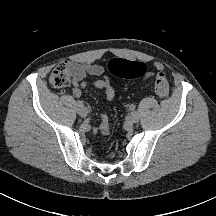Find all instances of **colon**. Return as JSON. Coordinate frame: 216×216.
Wrapping results in <instances>:
<instances>
[{"instance_id":"1","label":"colon","mask_w":216,"mask_h":216,"mask_svg":"<svg viewBox=\"0 0 216 216\" xmlns=\"http://www.w3.org/2000/svg\"><path fill=\"white\" fill-rule=\"evenodd\" d=\"M109 71L121 78H138L145 74L146 65L142 62L128 61L121 58L112 59L108 64ZM49 81L56 88H64L69 85L70 74L65 63L57 66L50 74ZM169 84L162 73L157 74L155 79V92L159 98H166L169 95ZM98 134L102 141L106 142L111 138L110 119L106 113L101 114L99 119Z\"/></svg>"}]
</instances>
